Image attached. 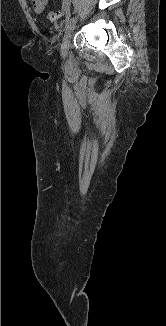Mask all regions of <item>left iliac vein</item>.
Wrapping results in <instances>:
<instances>
[{"label":"left iliac vein","instance_id":"1","mask_svg":"<svg viewBox=\"0 0 166 326\" xmlns=\"http://www.w3.org/2000/svg\"><path fill=\"white\" fill-rule=\"evenodd\" d=\"M78 19V15L73 16L68 25L65 28V34H64V38H63V42L60 48L61 51V55L65 56L70 44V39H71V33L73 31V29L75 28L76 22Z\"/></svg>","mask_w":166,"mask_h":326}]
</instances>
